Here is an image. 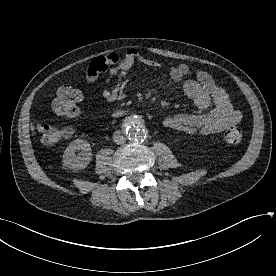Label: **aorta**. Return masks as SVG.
<instances>
[{"label": "aorta", "mask_w": 276, "mask_h": 276, "mask_svg": "<svg viewBox=\"0 0 276 276\" xmlns=\"http://www.w3.org/2000/svg\"><path fill=\"white\" fill-rule=\"evenodd\" d=\"M127 136L137 142H141L146 138L147 132L141 125L139 119L130 120L126 124L125 128Z\"/></svg>", "instance_id": "aorta-1"}]
</instances>
